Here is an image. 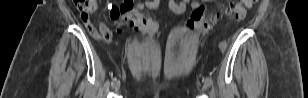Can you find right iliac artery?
Returning <instances> with one entry per match:
<instances>
[{
	"instance_id": "right-iliac-artery-1",
	"label": "right iliac artery",
	"mask_w": 308,
	"mask_h": 98,
	"mask_svg": "<svg viewBox=\"0 0 308 98\" xmlns=\"http://www.w3.org/2000/svg\"><path fill=\"white\" fill-rule=\"evenodd\" d=\"M117 82H118V80H117V79H114V80L112 81V83H111L112 87H113Z\"/></svg>"
}]
</instances>
